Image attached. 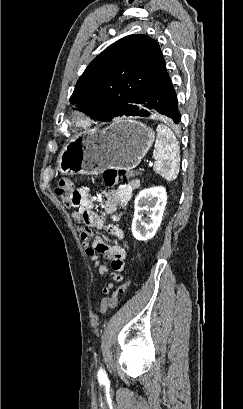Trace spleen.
I'll return each mask as SVG.
<instances>
[{
  "label": "spleen",
  "instance_id": "1",
  "mask_svg": "<svg viewBox=\"0 0 243 409\" xmlns=\"http://www.w3.org/2000/svg\"><path fill=\"white\" fill-rule=\"evenodd\" d=\"M156 160L154 171L167 181L177 177L180 163V147L174 133L165 125L157 126V138L153 150Z\"/></svg>",
  "mask_w": 243,
  "mask_h": 409
}]
</instances>
